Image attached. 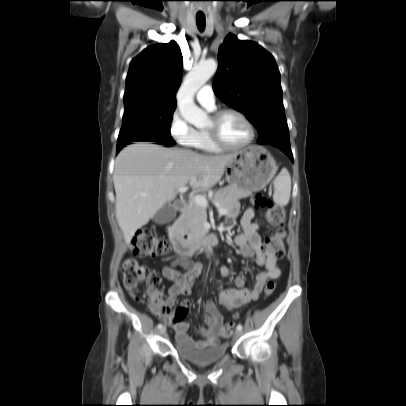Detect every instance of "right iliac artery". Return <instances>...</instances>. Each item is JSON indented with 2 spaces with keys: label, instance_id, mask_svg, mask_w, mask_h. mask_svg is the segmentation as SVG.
<instances>
[{
  "label": "right iliac artery",
  "instance_id": "1",
  "mask_svg": "<svg viewBox=\"0 0 406 406\" xmlns=\"http://www.w3.org/2000/svg\"><path fill=\"white\" fill-rule=\"evenodd\" d=\"M158 329H161L163 327V325L161 323L158 324Z\"/></svg>",
  "mask_w": 406,
  "mask_h": 406
}]
</instances>
